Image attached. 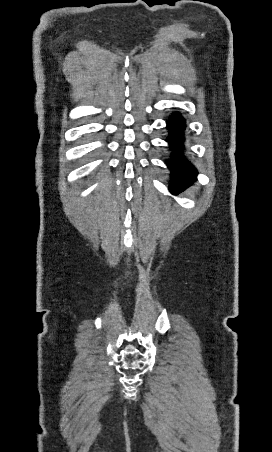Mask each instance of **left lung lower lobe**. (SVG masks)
<instances>
[{"label":"left lung lower lobe","instance_id":"obj_1","mask_svg":"<svg viewBox=\"0 0 272 452\" xmlns=\"http://www.w3.org/2000/svg\"><path fill=\"white\" fill-rule=\"evenodd\" d=\"M185 127V119L179 112L172 114L167 121L169 136L166 141L169 143L170 149L176 151V153H172L171 155L172 160L167 162L168 168L172 171V178H174V182L170 186V191L175 194L184 185L193 182L196 179L197 173L193 165L182 155Z\"/></svg>","mask_w":272,"mask_h":452}]
</instances>
